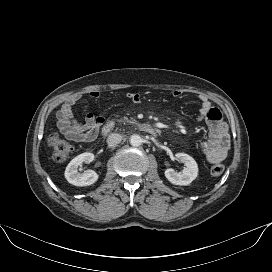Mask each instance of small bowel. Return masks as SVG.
<instances>
[{
  "mask_svg": "<svg viewBox=\"0 0 272 272\" xmlns=\"http://www.w3.org/2000/svg\"><path fill=\"white\" fill-rule=\"evenodd\" d=\"M181 95L182 92L179 90L173 92L174 97ZM125 96L134 103L140 101V96L137 93L129 92ZM90 97L101 99L103 94L99 91H92L90 92ZM199 99L201 108L197 120L205 122L208 127V136L200 144V148L209 163L217 164L225 160L229 152L230 138L228 127L223 121L222 114L218 108L213 107L204 96H200ZM79 100V95H73L65 100L56 114L57 126L60 132L71 141L77 143L92 142L98 136L103 118L101 115L88 113L84 122L77 121L73 116L72 109Z\"/></svg>",
  "mask_w": 272,
  "mask_h": 272,
  "instance_id": "1",
  "label": "small bowel"
}]
</instances>
